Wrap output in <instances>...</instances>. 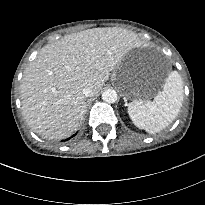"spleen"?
<instances>
[{
    "label": "spleen",
    "instance_id": "spleen-1",
    "mask_svg": "<svg viewBox=\"0 0 205 205\" xmlns=\"http://www.w3.org/2000/svg\"><path fill=\"white\" fill-rule=\"evenodd\" d=\"M183 97L182 78L177 71H172L165 79L163 90L153 101H132L128 104V114L136 127L148 133H156L176 118Z\"/></svg>",
    "mask_w": 205,
    "mask_h": 205
}]
</instances>
